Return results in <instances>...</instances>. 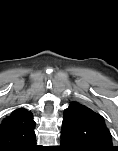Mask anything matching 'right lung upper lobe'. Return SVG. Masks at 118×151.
<instances>
[{
	"instance_id": "right-lung-upper-lobe-1",
	"label": "right lung upper lobe",
	"mask_w": 118,
	"mask_h": 151,
	"mask_svg": "<svg viewBox=\"0 0 118 151\" xmlns=\"http://www.w3.org/2000/svg\"><path fill=\"white\" fill-rule=\"evenodd\" d=\"M33 115L25 108L14 110L0 124V151H24L36 142Z\"/></svg>"
}]
</instances>
